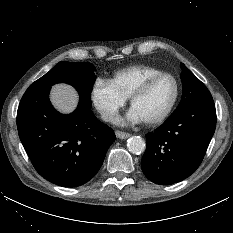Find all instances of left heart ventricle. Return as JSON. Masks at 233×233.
I'll list each match as a JSON object with an SVG mask.
<instances>
[{"instance_id": "left-heart-ventricle-1", "label": "left heart ventricle", "mask_w": 233, "mask_h": 233, "mask_svg": "<svg viewBox=\"0 0 233 233\" xmlns=\"http://www.w3.org/2000/svg\"><path fill=\"white\" fill-rule=\"evenodd\" d=\"M174 92L173 80L169 77L161 78L144 95L135 100L132 108L140 114L143 120L156 118L168 107Z\"/></svg>"}]
</instances>
